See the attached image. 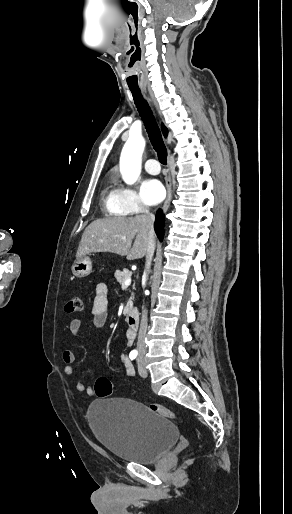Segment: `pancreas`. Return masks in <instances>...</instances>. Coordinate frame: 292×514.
Instances as JSON below:
<instances>
[{
	"mask_svg": "<svg viewBox=\"0 0 292 514\" xmlns=\"http://www.w3.org/2000/svg\"><path fill=\"white\" fill-rule=\"evenodd\" d=\"M117 282H119V284H124L125 280H127L128 276H131V272H129V270H126V268H124L123 272H120V270H116L115 274H114ZM128 306H132V298H130V300H128Z\"/></svg>",
	"mask_w": 292,
	"mask_h": 514,
	"instance_id": "cf45deb5",
	"label": "pancreas"
}]
</instances>
